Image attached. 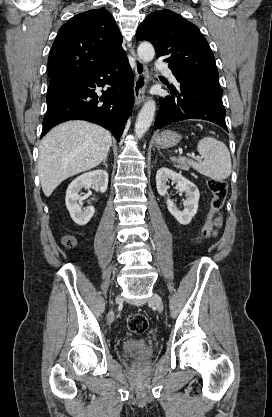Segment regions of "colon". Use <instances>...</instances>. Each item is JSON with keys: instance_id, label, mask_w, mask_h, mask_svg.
Masks as SVG:
<instances>
[{"instance_id": "1", "label": "colon", "mask_w": 272, "mask_h": 417, "mask_svg": "<svg viewBox=\"0 0 272 417\" xmlns=\"http://www.w3.org/2000/svg\"><path fill=\"white\" fill-rule=\"evenodd\" d=\"M227 188V182L222 179H211L209 181V189L213 194L210 202V211L196 237V241H201L211 235L214 227V220L224 205ZM63 243L65 247L72 248L75 245V239L72 236H65ZM127 325L131 332L139 334L147 330L148 320L143 314L136 313L128 317ZM137 358L138 354L134 352L131 356V361H136Z\"/></svg>"}]
</instances>
